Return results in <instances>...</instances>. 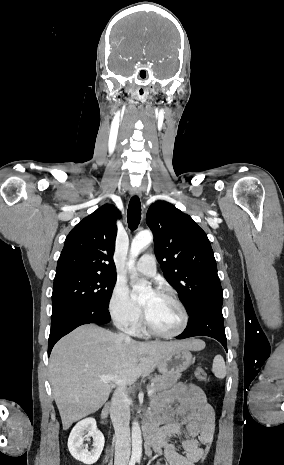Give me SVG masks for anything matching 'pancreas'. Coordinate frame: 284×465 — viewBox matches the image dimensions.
Wrapping results in <instances>:
<instances>
[{
  "mask_svg": "<svg viewBox=\"0 0 284 465\" xmlns=\"http://www.w3.org/2000/svg\"><path fill=\"white\" fill-rule=\"evenodd\" d=\"M181 375L179 371L176 373H168V375H157L155 379H152L151 385H148V391H154L153 395H151L150 399H154L157 393H162V391H167V389H171L175 383H177L178 379H180Z\"/></svg>",
  "mask_w": 284,
  "mask_h": 465,
  "instance_id": "pancreas-1",
  "label": "pancreas"
}]
</instances>
